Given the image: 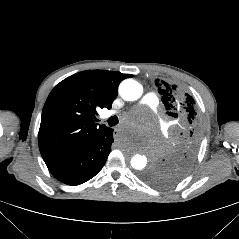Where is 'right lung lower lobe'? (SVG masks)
Here are the masks:
<instances>
[{
  "mask_svg": "<svg viewBox=\"0 0 239 239\" xmlns=\"http://www.w3.org/2000/svg\"><path fill=\"white\" fill-rule=\"evenodd\" d=\"M113 141V129L107 128L79 149L45 163L52 175L62 183L80 185L99 173Z\"/></svg>",
  "mask_w": 239,
  "mask_h": 239,
  "instance_id": "obj_1",
  "label": "right lung lower lobe"
}]
</instances>
